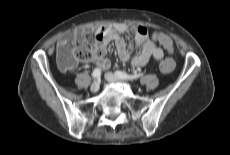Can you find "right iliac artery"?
I'll list each match as a JSON object with an SVG mask.
<instances>
[{"label":"right iliac artery","instance_id":"1","mask_svg":"<svg viewBox=\"0 0 230 155\" xmlns=\"http://www.w3.org/2000/svg\"><path fill=\"white\" fill-rule=\"evenodd\" d=\"M101 76V70L99 68L94 69L93 73H92V78L98 79Z\"/></svg>","mask_w":230,"mask_h":155}]
</instances>
